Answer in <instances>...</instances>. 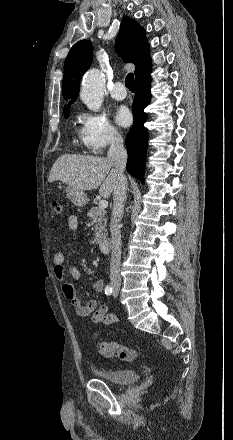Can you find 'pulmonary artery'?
Wrapping results in <instances>:
<instances>
[{
  "label": "pulmonary artery",
  "mask_w": 233,
  "mask_h": 440,
  "mask_svg": "<svg viewBox=\"0 0 233 440\" xmlns=\"http://www.w3.org/2000/svg\"><path fill=\"white\" fill-rule=\"evenodd\" d=\"M110 94L116 100H123L127 96V92L125 90L123 83H121L119 81L114 83V85L110 91Z\"/></svg>",
  "instance_id": "obj_1"
}]
</instances>
